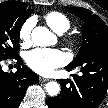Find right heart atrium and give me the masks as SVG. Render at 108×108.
Instances as JSON below:
<instances>
[{
  "instance_id": "1",
  "label": "right heart atrium",
  "mask_w": 108,
  "mask_h": 108,
  "mask_svg": "<svg viewBox=\"0 0 108 108\" xmlns=\"http://www.w3.org/2000/svg\"><path fill=\"white\" fill-rule=\"evenodd\" d=\"M34 26L32 19H28L23 23L19 30V40L21 45H28L31 42V33Z\"/></svg>"
}]
</instances>
